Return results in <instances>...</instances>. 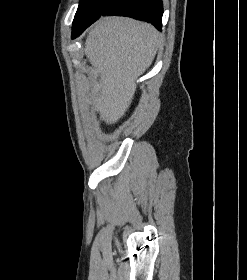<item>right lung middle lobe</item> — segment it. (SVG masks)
Returning <instances> with one entry per match:
<instances>
[{"instance_id": "right-lung-middle-lobe-1", "label": "right lung middle lobe", "mask_w": 247, "mask_h": 280, "mask_svg": "<svg viewBox=\"0 0 247 280\" xmlns=\"http://www.w3.org/2000/svg\"><path fill=\"white\" fill-rule=\"evenodd\" d=\"M110 0H81L75 14L73 27L83 25L100 15Z\"/></svg>"}]
</instances>
